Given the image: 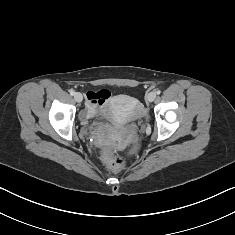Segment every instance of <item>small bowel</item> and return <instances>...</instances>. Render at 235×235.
I'll list each match as a JSON object with an SVG mask.
<instances>
[{
  "label": "small bowel",
  "mask_w": 235,
  "mask_h": 235,
  "mask_svg": "<svg viewBox=\"0 0 235 235\" xmlns=\"http://www.w3.org/2000/svg\"><path fill=\"white\" fill-rule=\"evenodd\" d=\"M85 97L87 103L86 108L82 113L85 118L96 115L106 104L110 105L113 101L119 98L111 99L109 93L106 91H87Z\"/></svg>",
  "instance_id": "c3829d8e"
}]
</instances>
